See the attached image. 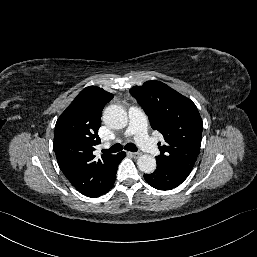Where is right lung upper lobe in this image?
<instances>
[{"mask_svg":"<svg viewBox=\"0 0 257 257\" xmlns=\"http://www.w3.org/2000/svg\"><path fill=\"white\" fill-rule=\"evenodd\" d=\"M113 95L102 88H84L55 125L54 151L63 174L83 195L96 196L108 180L116 155L95 159L93 151L100 143L98 130L101 113Z\"/></svg>","mask_w":257,"mask_h":257,"instance_id":"cb5924a9","label":"right lung upper lobe"}]
</instances>
